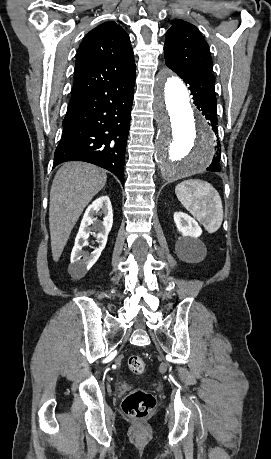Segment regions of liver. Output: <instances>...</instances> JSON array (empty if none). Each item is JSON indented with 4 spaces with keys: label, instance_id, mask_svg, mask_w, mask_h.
Listing matches in <instances>:
<instances>
[{
    "label": "liver",
    "instance_id": "6515ba94",
    "mask_svg": "<svg viewBox=\"0 0 271 459\" xmlns=\"http://www.w3.org/2000/svg\"><path fill=\"white\" fill-rule=\"evenodd\" d=\"M105 170L86 162H66L59 168L50 190L49 228L51 251L58 261L79 216L104 188Z\"/></svg>",
    "mask_w": 271,
    "mask_h": 459
}]
</instances>
